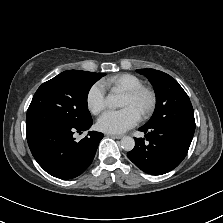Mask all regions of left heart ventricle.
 <instances>
[{
    "instance_id": "b2bd125f",
    "label": "left heart ventricle",
    "mask_w": 223,
    "mask_h": 223,
    "mask_svg": "<svg viewBox=\"0 0 223 223\" xmlns=\"http://www.w3.org/2000/svg\"><path fill=\"white\" fill-rule=\"evenodd\" d=\"M148 99L147 97L143 96L138 99H130L126 95H124L122 100V106H133L139 114H141V111L147 106Z\"/></svg>"
}]
</instances>
